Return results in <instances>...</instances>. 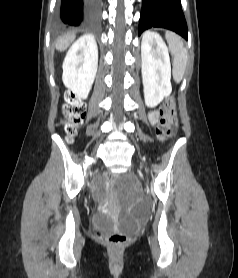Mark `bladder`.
I'll return each instance as SVG.
<instances>
[{
  "label": "bladder",
  "mask_w": 238,
  "mask_h": 278,
  "mask_svg": "<svg viewBox=\"0 0 238 278\" xmlns=\"http://www.w3.org/2000/svg\"><path fill=\"white\" fill-rule=\"evenodd\" d=\"M94 220L98 226L103 228H109L114 225L113 220L104 214H96Z\"/></svg>",
  "instance_id": "bladder-1"
}]
</instances>
